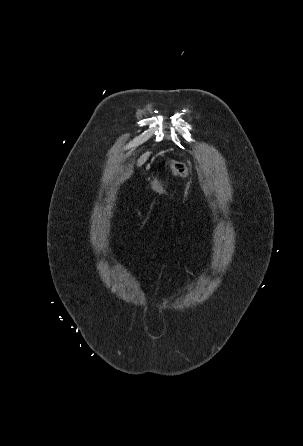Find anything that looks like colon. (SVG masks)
Returning <instances> with one entry per match:
<instances>
[{"label": "colon", "instance_id": "1", "mask_svg": "<svg viewBox=\"0 0 303 446\" xmlns=\"http://www.w3.org/2000/svg\"><path fill=\"white\" fill-rule=\"evenodd\" d=\"M169 170L182 177H186L188 175V169L186 166L178 161H169ZM164 177V174H160L154 179L152 183V190L154 193L163 194L165 192L166 184Z\"/></svg>", "mask_w": 303, "mask_h": 446}]
</instances>
